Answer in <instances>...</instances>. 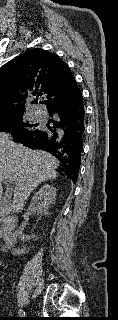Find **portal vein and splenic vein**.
Segmentation results:
<instances>
[{"label": "portal vein and splenic vein", "instance_id": "obj_1", "mask_svg": "<svg viewBox=\"0 0 118 320\" xmlns=\"http://www.w3.org/2000/svg\"><path fill=\"white\" fill-rule=\"evenodd\" d=\"M2 181H5V182H9V183H13V181H11V180H8V179H1Z\"/></svg>", "mask_w": 118, "mask_h": 320}]
</instances>
